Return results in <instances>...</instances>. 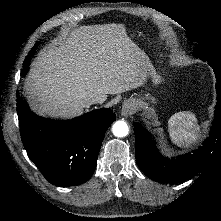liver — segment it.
Masks as SVG:
<instances>
[{
    "instance_id": "1",
    "label": "liver",
    "mask_w": 221,
    "mask_h": 221,
    "mask_svg": "<svg viewBox=\"0 0 221 221\" xmlns=\"http://www.w3.org/2000/svg\"><path fill=\"white\" fill-rule=\"evenodd\" d=\"M148 58L123 24L81 26L55 40L32 63L25 91L41 115H79L95 95L118 94L142 85Z\"/></svg>"
}]
</instances>
